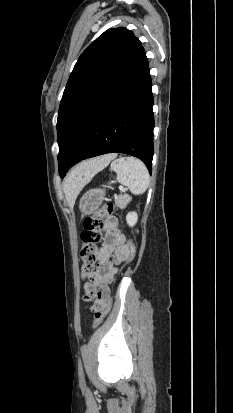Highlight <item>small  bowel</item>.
I'll return each mask as SVG.
<instances>
[{
  "label": "small bowel",
  "instance_id": "obj_1",
  "mask_svg": "<svg viewBox=\"0 0 233 413\" xmlns=\"http://www.w3.org/2000/svg\"><path fill=\"white\" fill-rule=\"evenodd\" d=\"M127 243L125 235L117 228L116 218L107 219L105 240L98 253L97 269L90 277V282L84 285L85 303L94 301V306L106 304L110 294L109 285L118 273L117 265L125 261Z\"/></svg>",
  "mask_w": 233,
  "mask_h": 413
}]
</instances>
